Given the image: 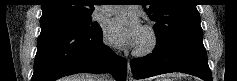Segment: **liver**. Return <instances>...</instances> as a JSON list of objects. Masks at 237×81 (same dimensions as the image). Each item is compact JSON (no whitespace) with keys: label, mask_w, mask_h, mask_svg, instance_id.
Instances as JSON below:
<instances>
[{"label":"liver","mask_w":237,"mask_h":81,"mask_svg":"<svg viewBox=\"0 0 237 81\" xmlns=\"http://www.w3.org/2000/svg\"><path fill=\"white\" fill-rule=\"evenodd\" d=\"M63 81H103L102 75L95 74H75L63 78Z\"/></svg>","instance_id":"liver-1"}]
</instances>
